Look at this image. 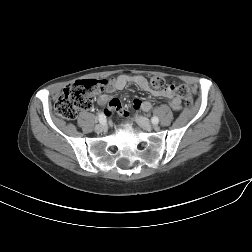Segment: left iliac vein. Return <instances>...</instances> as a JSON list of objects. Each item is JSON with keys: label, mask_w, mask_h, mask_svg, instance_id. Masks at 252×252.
Instances as JSON below:
<instances>
[{"label": "left iliac vein", "mask_w": 252, "mask_h": 252, "mask_svg": "<svg viewBox=\"0 0 252 252\" xmlns=\"http://www.w3.org/2000/svg\"><path fill=\"white\" fill-rule=\"evenodd\" d=\"M136 122L145 130H151L153 128L149 120L143 116H137Z\"/></svg>", "instance_id": "1"}]
</instances>
